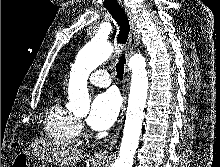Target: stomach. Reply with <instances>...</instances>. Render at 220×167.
<instances>
[{
	"label": "stomach",
	"instance_id": "stomach-1",
	"mask_svg": "<svg viewBox=\"0 0 220 167\" xmlns=\"http://www.w3.org/2000/svg\"><path fill=\"white\" fill-rule=\"evenodd\" d=\"M37 159L28 153L21 152L19 153L14 161L12 162V167H44L42 164L36 161ZM99 164H101L104 161H97ZM49 167V166H45Z\"/></svg>",
	"mask_w": 220,
	"mask_h": 167
}]
</instances>
